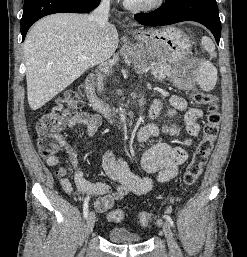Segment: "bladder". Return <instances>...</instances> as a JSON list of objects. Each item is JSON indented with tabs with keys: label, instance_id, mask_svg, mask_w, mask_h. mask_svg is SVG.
Listing matches in <instances>:
<instances>
[{
	"label": "bladder",
	"instance_id": "bladder-1",
	"mask_svg": "<svg viewBox=\"0 0 247 257\" xmlns=\"http://www.w3.org/2000/svg\"><path fill=\"white\" fill-rule=\"evenodd\" d=\"M108 239L115 244H134L142 241V236L123 227H113L108 231Z\"/></svg>",
	"mask_w": 247,
	"mask_h": 257
}]
</instances>
